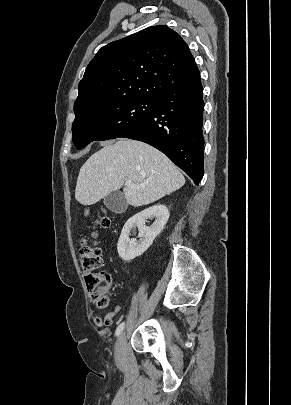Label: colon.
I'll return each instance as SVG.
<instances>
[{
    "instance_id": "1",
    "label": "colon",
    "mask_w": 291,
    "mask_h": 405,
    "mask_svg": "<svg viewBox=\"0 0 291 405\" xmlns=\"http://www.w3.org/2000/svg\"><path fill=\"white\" fill-rule=\"evenodd\" d=\"M97 225L109 227L111 220L107 216L98 219ZM95 236L94 234L92 235ZM79 259L84 275L86 287L91 299L97 308L102 309L108 305V296L111 289L109 273L100 270L103 265L101 250L95 242L82 240L79 250Z\"/></svg>"
}]
</instances>
